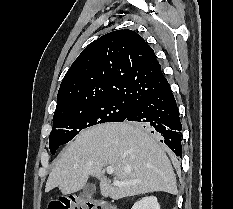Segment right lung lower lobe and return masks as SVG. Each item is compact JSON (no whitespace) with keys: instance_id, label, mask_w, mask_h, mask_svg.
<instances>
[{"instance_id":"right-lung-lower-lobe-1","label":"right lung lower lobe","mask_w":233,"mask_h":209,"mask_svg":"<svg viewBox=\"0 0 233 209\" xmlns=\"http://www.w3.org/2000/svg\"><path fill=\"white\" fill-rule=\"evenodd\" d=\"M125 121L140 122L161 137L160 141L168 145L177 156L182 157V125L168 83L157 92L135 102Z\"/></svg>"}]
</instances>
